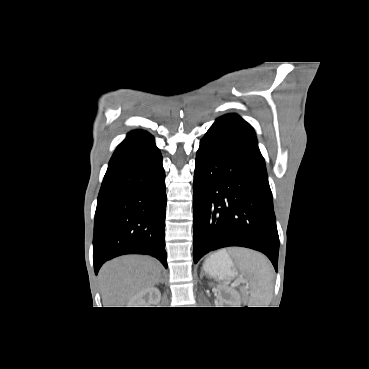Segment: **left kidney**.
<instances>
[{
    "instance_id": "obj_1",
    "label": "left kidney",
    "mask_w": 369,
    "mask_h": 369,
    "mask_svg": "<svg viewBox=\"0 0 369 369\" xmlns=\"http://www.w3.org/2000/svg\"><path fill=\"white\" fill-rule=\"evenodd\" d=\"M217 289L219 294V304L221 307H240V295L235 290L224 288L220 285L217 286Z\"/></svg>"
}]
</instances>
